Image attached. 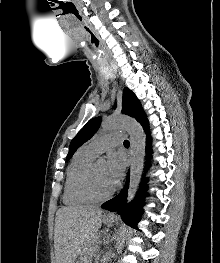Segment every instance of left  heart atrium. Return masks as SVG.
I'll return each instance as SVG.
<instances>
[{
  "label": "left heart atrium",
  "mask_w": 220,
  "mask_h": 263,
  "mask_svg": "<svg viewBox=\"0 0 220 263\" xmlns=\"http://www.w3.org/2000/svg\"><path fill=\"white\" fill-rule=\"evenodd\" d=\"M124 168L125 160L123 155L118 152L110 153L105 164V172L113 184H116L122 177Z\"/></svg>",
  "instance_id": "obj_1"
}]
</instances>
